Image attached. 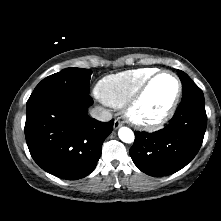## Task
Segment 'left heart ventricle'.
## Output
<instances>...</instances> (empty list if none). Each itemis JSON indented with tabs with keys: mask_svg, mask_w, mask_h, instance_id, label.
Masks as SVG:
<instances>
[{
	"mask_svg": "<svg viewBox=\"0 0 221 221\" xmlns=\"http://www.w3.org/2000/svg\"><path fill=\"white\" fill-rule=\"evenodd\" d=\"M177 90L176 81L168 74L159 76L149 87L136 109L137 116L153 119L171 104Z\"/></svg>",
	"mask_w": 221,
	"mask_h": 221,
	"instance_id": "left-heart-ventricle-1",
	"label": "left heart ventricle"
}]
</instances>
